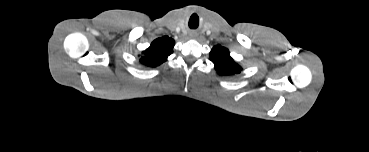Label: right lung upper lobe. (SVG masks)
Here are the masks:
<instances>
[{
	"mask_svg": "<svg viewBox=\"0 0 369 152\" xmlns=\"http://www.w3.org/2000/svg\"><path fill=\"white\" fill-rule=\"evenodd\" d=\"M174 40L164 36L152 42L150 47L142 52L139 61L147 67L160 65L167 60V57L172 53Z\"/></svg>",
	"mask_w": 369,
	"mask_h": 152,
	"instance_id": "right-lung-upper-lobe-1",
	"label": "right lung upper lobe"
}]
</instances>
